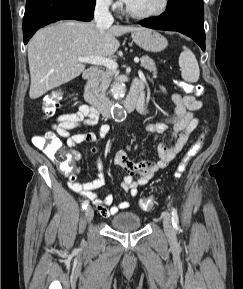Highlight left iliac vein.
Segmentation results:
<instances>
[{
    "label": "left iliac vein",
    "mask_w": 243,
    "mask_h": 289,
    "mask_svg": "<svg viewBox=\"0 0 243 289\" xmlns=\"http://www.w3.org/2000/svg\"><path fill=\"white\" fill-rule=\"evenodd\" d=\"M163 226L166 234L170 235L173 233V226L171 221V216L168 211L163 213Z\"/></svg>",
    "instance_id": "left-iliac-vein-1"
}]
</instances>
